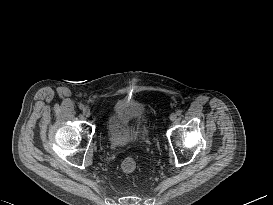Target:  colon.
<instances>
[{
  "mask_svg": "<svg viewBox=\"0 0 273 205\" xmlns=\"http://www.w3.org/2000/svg\"><path fill=\"white\" fill-rule=\"evenodd\" d=\"M136 168V162L133 158L127 157L121 164V169L124 173H132Z\"/></svg>",
  "mask_w": 273,
  "mask_h": 205,
  "instance_id": "5ec220e1",
  "label": "colon"
}]
</instances>
